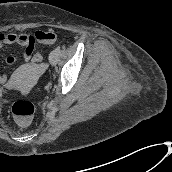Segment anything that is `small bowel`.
<instances>
[{
    "mask_svg": "<svg viewBox=\"0 0 172 172\" xmlns=\"http://www.w3.org/2000/svg\"><path fill=\"white\" fill-rule=\"evenodd\" d=\"M46 31H37L34 34L29 33H0V49L7 46L20 45L23 47L21 52L22 58L26 62H36L37 57L40 56L39 53L34 54V49L36 43H44L41 38ZM48 44V43H45ZM8 65H14L17 61V57L14 55L7 56L5 59ZM7 80L6 75H0V83H4Z\"/></svg>",
    "mask_w": 172,
    "mask_h": 172,
    "instance_id": "1",
    "label": "small bowel"
}]
</instances>
